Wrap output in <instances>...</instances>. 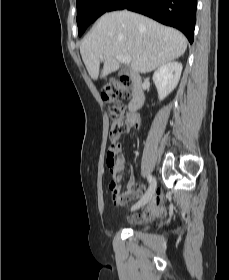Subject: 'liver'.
I'll return each instance as SVG.
<instances>
[{"mask_svg": "<svg viewBox=\"0 0 229 280\" xmlns=\"http://www.w3.org/2000/svg\"><path fill=\"white\" fill-rule=\"evenodd\" d=\"M187 48L186 37L176 29L127 10L101 16L83 39L80 53L90 77L119 69L116 55L131 57L135 73H148L182 56Z\"/></svg>", "mask_w": 229, "mask_h": 280, "instance_id": "1", "label": "liver"}]
</instances>
